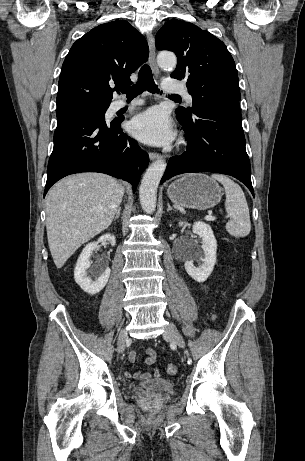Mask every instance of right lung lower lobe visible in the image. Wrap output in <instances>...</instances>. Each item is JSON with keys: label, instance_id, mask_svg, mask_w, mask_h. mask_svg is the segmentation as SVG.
I'll use <instances>...</instances> for the list:
<instances>
[{"label": "right lung lower lobe", "instance_id": "1", "mask_svg": "<svg viewBox=\"0 0 305 461\" xmlns=\"http://www.w3.org/2000/svg\"><path fill=\"white\" fill-rule=\"evenodd\" d=\"M122 121L105 122L102 115L75 111L57 113L44 196L58 180L80 172L109 174L128 181L135 191L149 156L123 133Z\"/></svg>", "mask_w": 305, "mask_h": 461}]
</instances>
